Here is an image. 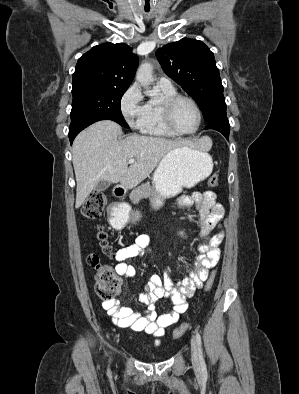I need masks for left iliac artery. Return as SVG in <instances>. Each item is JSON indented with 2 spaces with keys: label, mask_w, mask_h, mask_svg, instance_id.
<instances>
[{
  "label": "left iliac artery",
  "mask_w": 299,
  "mask_h": 394,
  "mask_svg": "<svg viewBox=\"0 0 299 394\" xmlns=\"http://www.w3.org/2000/svg\"><path fill=\"white\" fill-rule=\"evenodd\" d=\"M196 341H197V345H198V350H199V359H200V364L203 370L206 369V364H205V360L203 357V353H202V348H201V336L200 334L197 332L196 333Z\"/></svg>",
  "instance_id": "44dca946"
}]
</instances>
